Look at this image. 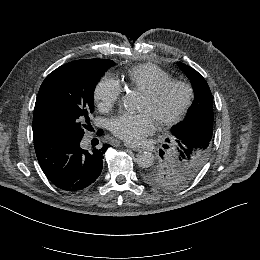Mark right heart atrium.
Here are the masks:
<instances>
[{
	"label": "right heart atrium",
	"instance_id": "right-heart-atrium-1",
	"mask_svg": "<svg viewBox=\"0 0 260 260\" xmlns=\"http://www.w3.org/2000/svg\"><path fill=\"white\" fill-rule=\"evenodd\" d=\"M122 89L110 76H103L95 85L93 97L102 111L111 110L120 100Z\"/></svg>",
	"mask_w": 260,
	"mask_h": 260
}]
</instances>
